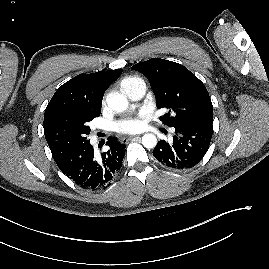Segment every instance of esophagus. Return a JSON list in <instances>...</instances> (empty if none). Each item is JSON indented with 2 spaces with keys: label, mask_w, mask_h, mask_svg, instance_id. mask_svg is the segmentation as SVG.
Segmentation results:
<instances>
[{
  "label": "esophagus",
  "mask_w": 269,
  "mask_h": 269,
  "mask_svg": "<svg viewBox=\"0 0 269 269\" xmlns=\"http://www.w3.org/2000/svg\"><path fill=\"white\" fill-rule=\"evenodd\" d=\"M139 139H140V136H131V137L123 138L122 143L127 144L129 141H135Z\"/></svg>",
  "instance_id": "1"
}]
</instances>
